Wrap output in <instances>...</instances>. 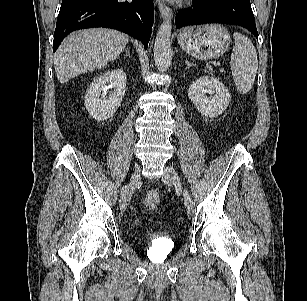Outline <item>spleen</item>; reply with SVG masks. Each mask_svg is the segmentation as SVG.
<instances>
[{"label":"spleen","mask_w":307,"mask_h":301,"mask_svg":"<svg viewBox=\"0 0 307 301\" xmlns=\"http://www.w3.org/2000/svg\"><path fill=\"white\" fill-rule=\"evenodd\" d=\"M235 46L231 55L232 76L240 94L248 93L254 84L258 70L256 49L245 35L233 34Z\"/></svg>","instance_id":"obj_1"}]
</instances>
